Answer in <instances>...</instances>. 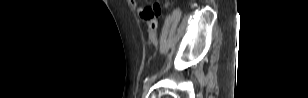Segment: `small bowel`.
<instances>
[{"mask_svg": "<svg viewBox=\"0 0 308 98\" xmlns=\"http://www.w3.org/2000/svg\"><path fill=\"white\" fill-rule=\"evenodd\" d=\"M132 4L135 5V1H132ZM142 17L145 18V19H147V20H151L150 18H148V17L145 16V15H142ZM151 24H154V23H151ZM151 24H150V25H151Z\"/></svg>", "mask_w": 308, "mask_h": 98, "instance_id": "obj_1", "label": "small bowel"}]
</instances>
